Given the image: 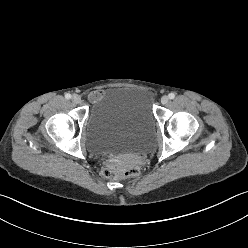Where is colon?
<instances>
[{
  "label": "colon",
  "instance_id": "colon-1",
  "mask_svg": "<svg viewBox=\"0 0 248 248\" xmlns=\"http://www.w3.org/2000/svg\"><path fill=\"white\" fill-rule=\"evenodd\" d=\"M138 174V170L132 166H124L108 161L102 170V175L110 179H128Z\"/></svg>",
  "mask_w": 248,
  "mask_h": 248
}]
</instances>
